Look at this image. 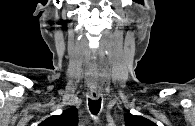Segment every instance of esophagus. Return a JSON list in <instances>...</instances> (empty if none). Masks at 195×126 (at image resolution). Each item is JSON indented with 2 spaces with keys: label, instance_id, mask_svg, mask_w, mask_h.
<instances>
[{
  "label": "esophagus",
  "instance_id": "34e87169",
  "mask_svg": "<svg viewBox=\"0 0 195 126\" xmlns=\"http://www.w3.org/2000/svg\"><path fill=\"white\" fill-rule=\"evenodd\" d=\"M90 95L93 100H97L101 96V88L91 87Z\"/></svg>",
  "mask_w": 195,
  "mask_h": 126
}]
</instances>
